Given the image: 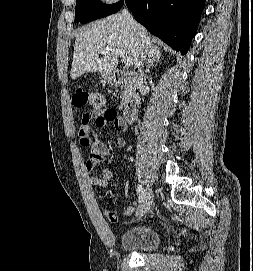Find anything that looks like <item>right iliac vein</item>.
I'll return each mask as SVG.
<instances>
[{"mask_svg":"<svg viewBox=\"0 0 253 271\" xmlns=\"http://www.w3.org/2000/svg\"><path fill=\"white\" fill-rule=\"evenodd\" d=\"M152 199H153L152 190L150 187H147L145 189L143 201L139 206V210H138L139 218L143 217L145 214H147L150 211L151 205H152Z\"/></svg>","mask_w":253,"mask_h":271,"instance_id":"right-iliac-vein-1","label":"right iliac vein"}]
</instances>
